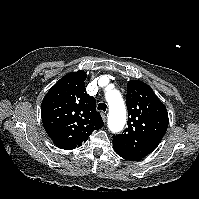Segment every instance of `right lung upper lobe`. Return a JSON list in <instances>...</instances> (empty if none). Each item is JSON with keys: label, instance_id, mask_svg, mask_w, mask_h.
Masks as SVG:
<instances>
[{"label": "right lung upper lobe", "instance_id": "1", "mask_svg": "<svg viewBox=\"0 0 199 199\" xmlns=\"http://www.w3.org/2000/svg\"><path fill=\"white\" fill-rule=\"evenodd\" d=\"M86 77L84 71L65 75L42 101L44 129L58 148L80 147L94 130L103 127L96 100L86 93Z\"/></svg>", "mask_w": 199, "mask_h": 199}]
</instances>
